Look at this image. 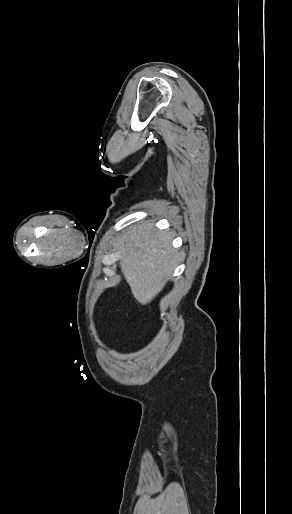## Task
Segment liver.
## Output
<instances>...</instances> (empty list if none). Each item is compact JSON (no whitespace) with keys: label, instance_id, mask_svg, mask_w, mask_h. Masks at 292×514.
Segmentation results:
<instances>
[{"label":"liver","instance_id":"1","mask_svg":"<svg viewBox=\"0 0 292 514\" xmlns=\"http://www.w3.org/2000/svg\"><path fill=\"white\" fill-rule=\"evenodd\" d=\"M154 226L153 222L130 226L118 244L121 272L142 306L163 290L176 268L173 232H158Z\"/></svg>","mask_w":292,"mask_h":514}]
</instances>
